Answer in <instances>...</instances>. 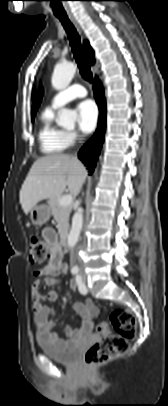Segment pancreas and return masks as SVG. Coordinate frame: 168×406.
Here are the masks:
<instances>
[{
  "label": "pancreas",
  "mask_w": 168,
  "mask_h": 406,
  "mask_svg": "<svg viewBox=\"0 0 168 406\" xmlns=\"http://www.w3.org/2000/svg\"><path fill=\"white\" fill-rule=\"evenodd\" d=\"M62 196L50 198L48 201L51 213L58 222V233L63 236L69 228V216L72 210V205L60 206L59 200Z\"/></svg>",
  "instance_id": "obj_1"
}]
</instances>
